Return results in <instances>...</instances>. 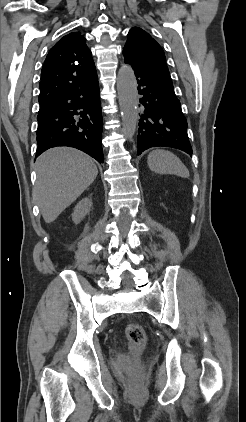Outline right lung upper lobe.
<instances>
[{
  "mask_svg": "<svg viewBox=\"0 0 246 422\" xmlns=\"http://www.w3.org/2000/svg\"><path fill=\"white\" fill-rule=\"evenodd\" d=\"M80 32L63 36L49 51L44 61L39 83L38 101L50 100L91 82L96 68Z\"/></svg>",
  "mask_w": 246,
  "mask_h": 422,
  "instance_id": "obj_1",
  "label": "right lung upper lobe"
}]
</instances>
